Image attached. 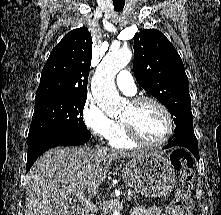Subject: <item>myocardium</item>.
Returning <instances> with one entry per match:
<instances>
[{"label":"myocardium","instance_id":"f54148a6","mask_svg":"<svg viewBox=\"0 0 221 215\" xmlns=\"http://www.w3.org/2000/svg\"><path fill=\"white\" fill-rule=\"evenodd\" d=\"M143 102L154 103L162 110V112L164 113V115L166 117L167 131H166L165 136L159 142L151 143V142L144 140L140 136V134L137 132L134 124L131 121L121 119V123L124 127V130H125L128 138L131 141H133L134 143H136L137 145L147 147V148H159V147L165 145L170 140V138L174 132L175 125H174L173 116H172L170 110L167 108V106L162 101H160L159 99H157L153 96H149V95L137 96L130 101V104L132 106H138L139 104H141Z\"/></svg>","mask_w":221,"mask_h":215}]
</instances>
